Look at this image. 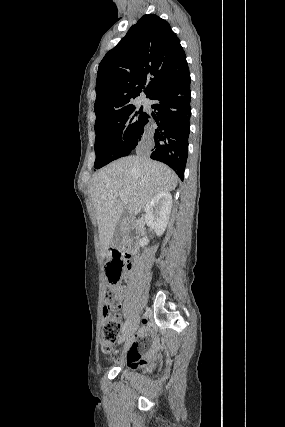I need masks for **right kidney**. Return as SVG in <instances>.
<instances>
[{"label": "right kidney", "instance_id": "obj_1", "mask_svg": "<svg viewBox=\"0 0 285 427\" xmlns=\"http://www.w3.org/2000/svg\"><path fill=\"white\" fill-rule=\"evenodd\" d=\"M172 207V196L169 192H160L155 195L145 206L144 220L148 227L153 229L157 236H161L168 224ZM149 243L147 238L139 241L141 247Z\"/></svg>", "mask_w": 285, "mask_h": 427}]
</instances>
